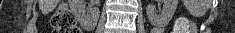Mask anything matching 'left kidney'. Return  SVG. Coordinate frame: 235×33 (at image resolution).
I'll return each instance as SVG.
<instances>
[{"mask_svg":"<svg viewBox=\"0 0 235 33\" xmlns=\"http://www.w3.org/2000/svg\"><path fill=\"white\" fill-rule=\"evenodd\" d=\"M162 2L163 7L159 12L152 4H149L146 8L148 19L154 25L168 24L177 8L178 0H162Z\"/></svg>","mask_w":235,"mask_h":33,"instance_id":"5707ae66","label":"left kidney"}]
</instances>
